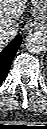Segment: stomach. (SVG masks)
<instances>
[{"instance_id":"1","label":"stomach","mask_w":47,"mask_h":129,"mask_svg":"<svg viewBox=\"0 0 47 129\" xmlns=\"http://www.w3.org/2000/svg\"><path fill=\"white\" fill-rule=\"evenodd\" d=\"M34 8L29 27L47 31V0H31Z\"/></svg>"}]
</instances>
